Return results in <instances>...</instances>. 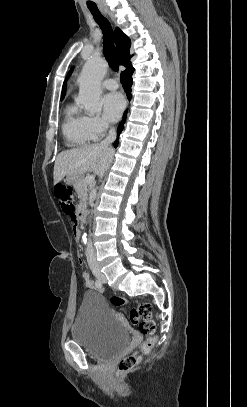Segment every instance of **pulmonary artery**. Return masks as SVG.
Instances as JSON below:
<instances>
[{
    "instance_id": "1",
    "label": "pulmonary artery",
    "mask_w": 247,
    "mask_h": 407,
    "mask_svg": "<svg viewBox=\"0 0 247 407\" xmlns=\"http://www.w3.org/2000/svg\"><path fill=\"white\" fill-rule=\"evenodd\" d=\"M102 86L108 90H115L118 88V83L114 79L109 78L102 82Z\"/></svg>"
}]
</instances>
